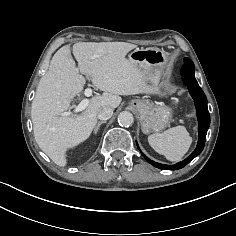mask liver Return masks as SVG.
I'll list each match as a JSON object with an SVG mask.
<instances>
[{
    "label": "liver",
    "instance_id": "1",
    "mask_svg": "<svg viewBox=\"0 0 236 236\" xmlns=\"http://www.w3.org/2000/svg\"><path fill=\"white\" fill-rule=\"evenodd\" d=\"M137 46L127 42H76L60 48L48 71L40 79L31 107L35 141L57 165H67V151L87 140L97 124L103 107L115 109L120 95L150 92L147 82L153 79L147 71L125 56ZM88 75L95 87L104 91L93 96L79 115H67L71 101L79 95Z\"/></svg>",
    "mask_w": 236,
    "mask_h": 236
}]
</instances>
